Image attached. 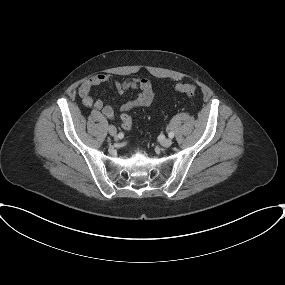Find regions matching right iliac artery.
I'll use <instances>...</instances> for the list:
<instances>
[{
    "instance_id": "1",
    "label": "right iliac artery",
    "mask_w": 285,
    "mask_h": 285,
    "mask_svg": "<svg viewBox=\"0 0 285 285\" xmlns=\"http://www.w3.org/2000/svg\"><path fill=\"white\" fill-rule=\"evenodd\" d=\"M123 136H124L123 133H119V134H118V138H120V139L123 138Z\"/></svg>"
}]
</instances>
